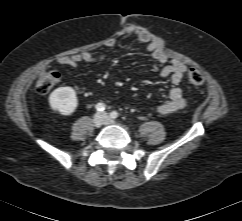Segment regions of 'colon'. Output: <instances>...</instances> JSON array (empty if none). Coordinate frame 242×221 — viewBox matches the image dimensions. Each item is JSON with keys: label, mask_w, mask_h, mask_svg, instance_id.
Returning <instances> with one entry per match:
<instances>
[{"label": "colon", "mask_w": 242, "mask_h": 221, "mask_svg": "<svg viewBox=\"0 0 242 221\" xmlns=\"http://www.w3.org/2000/svg\"><path fill=\"white\" fill-rule=\"evenodd\" d=\"M60 71L57 68H49L45 70L36 83V89L39 93H48L60 80ZM189 83L198 87L203 84L204 77L200 70L196 68L190 69L188 73Z\"/></svg>", "instance_id": "1"}]
</instances>
